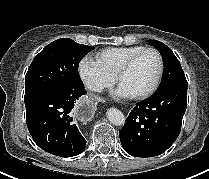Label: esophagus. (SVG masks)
<instances>
[{"instance_id": "1", "label": "esophagus", "mask_w": 209, "mask_h": 179, "mask_svg": "<svg viewBox=\"0 0 209 179\" xmlns=\"http://www.w3.org/2000/svg\"><path fill=\"white\" fill-rule=\"evenodd\" d=\"M72 114L78 122L86 123L94 117L95 109L89 101H78L73 106Z\"/></svg>"}]
</instances>
